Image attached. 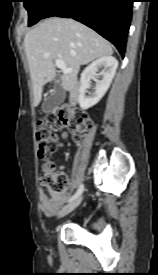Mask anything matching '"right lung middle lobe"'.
I'll return each mask as SVG.
<instances>
[{
  "label": "right lung middle lobe",
  "instance_id": "obj_1",
  "mask_svg": "<svg viewBox=\"0 0 158 275\" xmlns=\"http://www.w3.org/2000/svg\"><path fill=\"white\" fill-rule=\"evenodd\" d=\"M24 6L29 13V25L43 19L44 14L57 0H23Z\"/></svg>",
  "mask_w": 158,
  "mask_h": 275
}]
</instances>
